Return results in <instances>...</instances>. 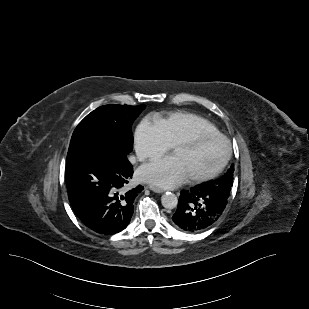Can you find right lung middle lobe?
<instances>
[{
	"instance_id": "1",
	"label": "right lung middle lobe",
	"mask_w": 309,
	"mask_h": 309,
	"mask_svg": "<svg viewBox=\"0 0 309 309\" xmlns=\"http://www.w3.org/2000/svg\"><path fill=\"white\" fill-rule=\"evenodd\" d=\"M145 107L115 104L101 106L78 124L70 144L87 138H101L111 141L128 154L133 149L131 125Z\"/></svg>"
}]
</instances>
